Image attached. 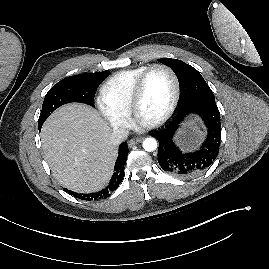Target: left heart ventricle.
I'll return each mask as SVG.
<instances>
[{
  "instance_id": "obj_1",
  "label": "left heart ventricle",
  "mask_w": 269,
  "mask_h": 269,
  "mask_svg": "<svg viewBox=\"0 0 269 269\" xmlns=\"http://www.w3.org/2000/svg\"><path fill=\"white\" fill-rule=\"evenodd\" d=\"M174 95L171 75L163 69L153 70L146 79L140 103V117L153 121L162 116L169 107Z\"/></svg>"
}]
</instances>
